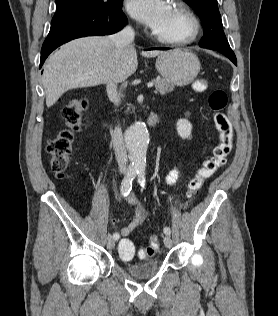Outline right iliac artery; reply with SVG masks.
I'll use <instances>...</instances> for the list:
<instances>
[{
	"mask_svg": "<svg viewBox=\"0 0 278 316\" xmlns=\"http://www.w3.org/2000/svg\"><path fill=\"white\" fill-rule=\"evenodd\" d=\"M137 174H138V168L130 167L128 169L127 174L124 177V179L122 180L121 187H120L121 195L123 197H126L130 193V191L132 189V182L135 179ZM119 237L120 236H119V234L117 232L113 234V238L115 240H118Z\"/></svg>",
	"mask_w": 278,
	"mask_h": 316,
	"instance_id": "right-iliac-artery-1",
	"label": "right iliac artery"
}]
</instances>
